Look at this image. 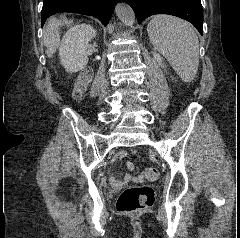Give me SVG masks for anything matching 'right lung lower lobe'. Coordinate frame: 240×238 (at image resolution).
Returning <instances> with one entry per match:
<instances>
[{"label":"right lung lower lobe","instance_id":"obj_1","mask_svg":"<svg viewBox=\"0 0 240 238\" xmlns=\"http://www.w3.org/2000/svg\"><path fill=\"white\" fill-rule=\"evenodd\" d=\"M119 0H43L41 24L47 18L60 12L79 13L98 18L107 25Z\"/></svg>","mask_w":240,"mask_h":238}]
</instances>
